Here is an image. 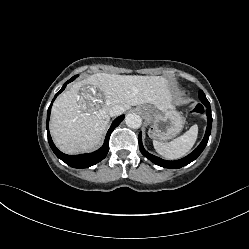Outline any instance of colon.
<instances>
[{
  "label": "colon",
  "mask_w": 249,
  "mask_h": 249,
  "mask_svg": "<svg viewBox=\"0 0 249 249\" xmlns=\"http://www.w3.org/2000/svg\"><path fill=\"white\" fill-rule=\"evenodd\" d=\"M203 111V107L201 105H195L190 109V113L192 114H200Z\"/></svg>",
  "instance_id": "colon-1"
}]
</instances>
